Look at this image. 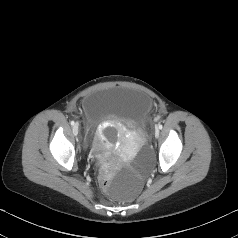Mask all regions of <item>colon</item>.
I'll return each mask as SVG.
<instances>
[{
  "label": "colon",
  "mask_w": 238,
  "mask_h": 238,
  "mask_svg": "<svg viewBox=\"0 0 238 238\" xmlns=\"http://www.w3.org/2000/svg\"><path fill=\"white\" fill-rule=\"evenodd\" d=\"M99 187L102 189V190H105L107 187H108V179L107 178H102L100 180V184H99Z\"/></svg>",
  "instance_id": "5ec220e1"
}]
</instances>
